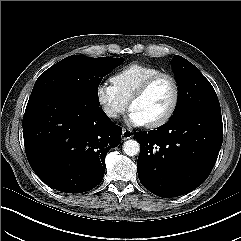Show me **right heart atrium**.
Here are the masks:
<instances>
[{
    "mask_svg": "<svg viewBox=\"0 0 241 241\" xmlns=\"http://www.w3.org/2000/svg\"><path fill=\"white\" fill-rule=\"evenodd\" d=\"M95 94L101 110L111 120L119 118L128 108V101L119 94L113 84L100 83Z\"/></svg>",
    "mask_w": 241,
    "mask_h": 241,
    "instance_id": "1",
    "label": "right heart atrium"
}]
</instances>
